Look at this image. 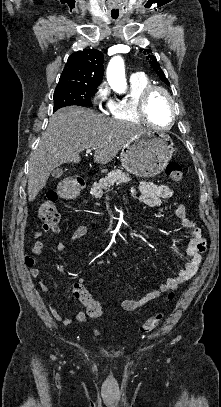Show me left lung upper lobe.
I'll use <instances>...</instances> for the list:
<instances>
[{
    "label": "left lung upper lobe",
    "mask_w": 221,
    "mask_h": 407,
    "mask_svg": "<svg viewBox=\"0 0 221 407\" xmlns=\"http://www.w3.org/2000/svg\"><path fill=\"white\" fill-rule=\"evenodd\" d=\"M140 51L144 53V55L146 56V59L148 60L149 64L151 65V68H153L155 70V72L160 77V79L163 82H165L167 85H169V81L165 77V74L162 71V69L160 68V65L157 62L156 57L152 53V50H150V49H141Z\"/></svg>",
    "instance_id": "left-lung-upper-lobe-1"
}]
</instances>
